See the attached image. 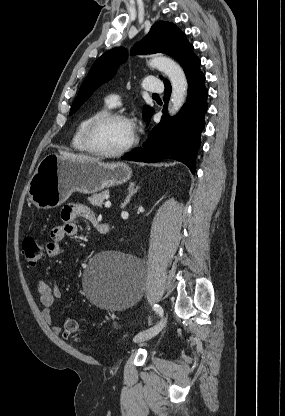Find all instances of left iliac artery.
<instances>
[{
    "mask_svg": "<svg viewBox=\"0 0 285 416\" xmlns=\"http://www.w3.org/2000/svg\"><path fill=\"white\" fill-rule=\"evenodd\" d=\"M154 311H156L161 317L163 316V309L159 304H154Z\"/></svg>",
    "mask_w": 285,
    "mask_h": 416,
    "instance_id": "left-iliac-artery-1",
    "label": "left iliac artery"
}]
</instances>
